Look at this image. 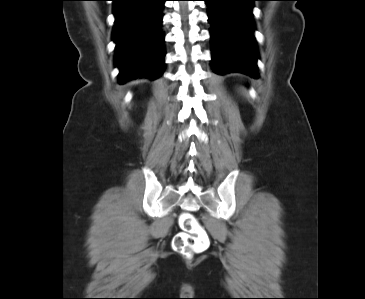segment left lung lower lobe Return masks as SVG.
Instances as JSON below:
<instances>
[{"label":"left lung lower lobe","mask_w":365,"mask_h":299,"mask_svg":"<svg viewBox=\"0 0 365 299\" xmlns=\"http://www.w3.org/2000/svg\"><path fill=\"white\" fill-rule=\"evenodd\" d=\"M211 23L212 68L217 74L242 72L258 78L253 2L204 0Z\"/></svg>","instance_id":"1"}]
</instances>
